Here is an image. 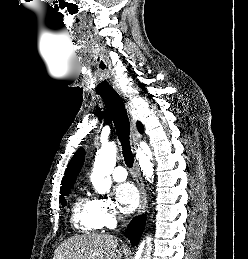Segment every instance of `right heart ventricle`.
<instances>
[{
  "instance_id": "right-heart-ventricle-1",
  "label": "right heart ventricle",
  "mask_w": 248,
  "mask_h": 259,
  "mask_svg": "<svg viewBox=\"0 0 248 259\" xmlns=\"http://www.w3.org/2000/svg\"><path fill=\"white\" fill-rule=\"evenodd\" d=\"M72 226L82 232H94L101 228L95 199L79 195L72 206Z\"/></svg>"
}]
</instances>
